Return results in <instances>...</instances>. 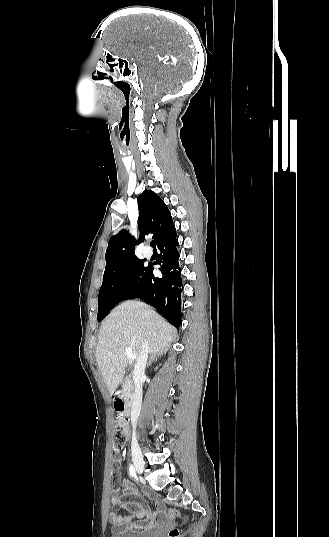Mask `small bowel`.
Listing matches in <instances>:
<instances>
[{"label":"small bowel","mask_w":329,"mask_h":537,"mask_svg":"<svg viewBox=\"0 0 329 537\" xmlns=\"http://www.w3.org/2000/svg\"><path fill=\"white\" fill-rule=\"evenodd\" d=\"M119 425L128 435L129 426L126 423ZM116 463H120L119 457L115 458ZM116 476V470L113 471ZM125 497V500H122ZM157 510L151 511L147 502L139 494L138 490L128 481H122L112 490L110 504L113 507H124L127 513L121 515L116 512H110L108 519L113 524L112 531L123 532H142L153 528L157 521L164 519L165 513L161 503L155 499Z\"/></svg>","instance_id":"c3829d8e"}]
</instances>
